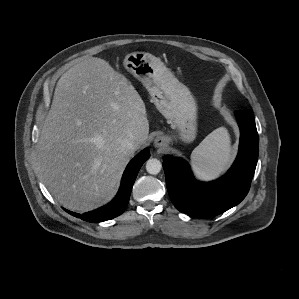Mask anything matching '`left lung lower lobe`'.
Listing matches in <instances>:
<instances>
[{"mask_svg": "<svg viewBox=\"0 0 299 299\" xmlns=\"http://www.w3.org/2000/svg\"><path fill=\"white\" fill-rule=\"evenodd\" d=\"M240 128L239 152L229 171L218 180H195L189 164L165 156L167 190L175 207L200 218L213 217L239 204L247 195L258 159V133L252 110L235 111Z\"/></svg>", "mask_w": 299, "mask_h": 299, "instance_id": "1", "label": "left lung lower lobe"}]
</instances>
